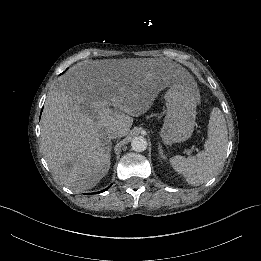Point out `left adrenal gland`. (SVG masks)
<instances>
[{
  "label": "left adrenal gland",
  "mask_w": 261,
  "mask_h": 261,
  "mask_svg": "<svg viewBox=\"0 0 261 261\" xmlns=\"http://www.w3.org/2000/svg\"><path fill=\"white\" fill-rule=\"evenodd\" d=\"M159 155L162 157L163 160L166 159V157L164 156L162 149L159 147V151H158Z\"/></svg>",
  "instance_id": "left-adrenal-gland-1"
}]
</instances>
